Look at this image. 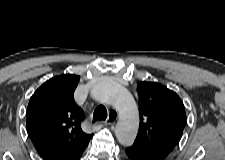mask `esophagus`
Here are the masks:
<instances>
[{
    "label": "esophagus",
    "instance_id": "obj_1",
    "mask_svg": "<svg viewBox=\"0 0 225 160\" xmlns=\"http://www.w3.org/2000/svg\"><path fill=\"white\" fill-rule=\"evenodd\" d=\"M118 118V112L114 109L110 110L108 121L104 123L105 126H113Z\"/></svg>",
    "mask_w": 225,
    "mask_h": 160
}]
</instances>
